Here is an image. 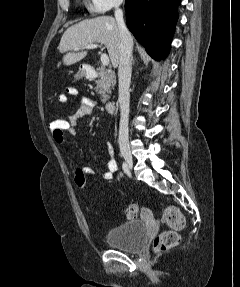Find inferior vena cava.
Returning <instances> with one entry per match:
<instances>
[{
	"label": "inferior vena cava",
	"mask_w": 240,
	"mask_h": 287,
	"mask_svg": "<svg viewBox=\"0 0 240 287\" xmlns=\"http://www.w3.org/2000/svg\"><path fill=\"white\" fill-rule=\"evenodd\" d=\"M123 0H115L114 3V16L118 25L120 35L119 46V67H118V80H119V98L120 105V126L118 142L120 148H129V130L128 120L130 112V81H131V55L133 50V39L129 30L127 29L123 11L120 5Z\"/></svg>",
	"instance_id": "obj_1"
}]
</instances>
